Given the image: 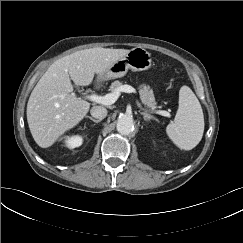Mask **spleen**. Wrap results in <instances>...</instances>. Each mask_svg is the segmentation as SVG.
<instances>
[{
  "instance_id": "3e777b00",
  "label": "spleen",
  "mask_w": 243,
  "mask_h": 243,
  "mask_svg": "<svg viewBox=\"0 0 243 243\" xmlns=\"http://www.w3.org/2000/svg\"><path fill=\"white\" fill-rule=\"evenodd\" d=\"M204 132V115L201 104L188 86L179 91V107L174 121L166 127L171 141L180 149L191 150L202 139Z\"/></svg>"
}]
</instances>
